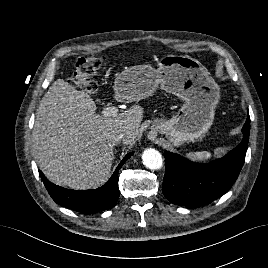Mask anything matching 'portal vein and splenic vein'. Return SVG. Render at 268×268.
I'll return each instance as SVG.
<instances>
[{
    "mask_svg": "<svg viewBox=\"0 0 268 268\" xmlns=\"http://www.w3.org/2000/svg\"><path fill=\"white\" fill-rule=\"evenodd\" d=\"M118 112L119 110L117 107L109 106V107L104 108L101 113L104 117H115L118 115Z\"/></svg>",
    "mask_w": 268,
    "mask_h": 268,
    "instance_id": "obj_1",
    "label": "portal vein and splenic vein"
}]
</instances>
